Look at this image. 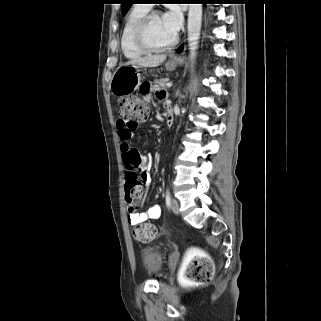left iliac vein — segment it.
Returning a JSON list of instances; mask_svg holds the SVG:
<instances>
[{"label":"left iliac vein","instance_id":"1","mask_svg":"<svg viewBox=\"0 0 321 321\" xmlns=\"http://www.w3.org/2000/svg\"><path fill=\"white\" fill-rule=\"evenodd\" d=\"M171 210L175 213V214H179V203L176 199H172L171 203Z\"/></svg>","mask_w":321,"mask_h":321}]
</instances>
